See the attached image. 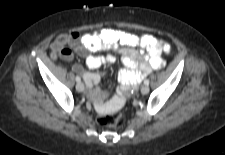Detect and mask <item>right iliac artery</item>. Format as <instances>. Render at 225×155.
<instances>
[{"instance_id":"obj_1","label":"right iliac artery","mask_w":225,"mask_h":155,"mask_svg":"<svg viewBox=\"0 0 225 155\" xmlns=\"http://www.w3.org/2000/svg\"><path fill=\"white\" fill-rule=\"evenodd\" d=\"M75 79H76L77 82H80L81 81V78L79 76H76Z\"/></svg>"}]
</instances>
